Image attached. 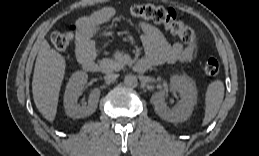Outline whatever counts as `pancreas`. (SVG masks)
<instances>
[{"mask_svg": "<svg viewBox=\"0 0 259 156\" xmlns=\"http://www.w3.org/2000/svg\"><path fill=\"white\" fill-rule=\"evenodd\" d=\"M100 69L104 73H110L113 71H119L125 65L124 60H113L109 58H104L99 61Z\"/></svg>", "mask_w": 259, "mask_h": 156, "instance_id": "pancreas-1", "label": "pancreas"}]
</instances>
